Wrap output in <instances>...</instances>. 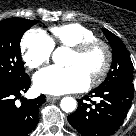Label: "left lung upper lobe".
I'll return each instance as SVG.
<instances>
[{
	"label": "left lung upper lobe",
	"instance_id": "obj_1",
	"mask_svg": "<svg viewBox=\"0 0 136 136\" xmlns=\"http://www.w3.org/2000/svg\"><path fill=\"white\" fill-rule=\"evenodd\" d=\"M105 36L107 37L112 50H113V62L112 70H110L105 81L99 86L103 87L113 83H132L133 82V64L130 55L119 37L110 32L107 29H103Z\"/></svg>",
	"mask_w": 136,
	"mask_h": 136
}]
</instances>
